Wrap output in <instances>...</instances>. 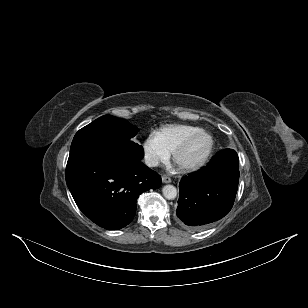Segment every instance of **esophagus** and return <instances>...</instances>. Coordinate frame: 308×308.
Returning a JSON list of instances; mask_svg holds the SVG:
<instances>
[{
    "mask_svg": "<svg viewBox=\"0 0 308 308\" xmlns=\"http://www.w3.org/2000/svg\"><path fill=\"white\" fill-rule=\"evenodd\" d=\"M162 182L163 183H170L171 182V178L167 175H163L162 176Z\"/></svg>",
    "mask_w": 308,
    "mask_h": 308,
    "instance_id": "esophagus-1",
    "label": "esophagus"
}]
</instances>
